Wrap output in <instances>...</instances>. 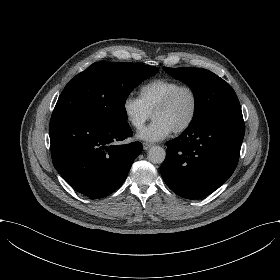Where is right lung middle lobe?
<instances>
[{"label": "right lung middle lobe", "mask_w": 280, "mask_h": 280, "mask_svg": "<svg viewBox=\"0 0 280 280\" xmlns=\"http://www.w3.org/2000/svg\"><path fill=\"white\" fill-rule=\"evenodd\" d=\"M159 69L135 63L97 62L76 75L59 96L53 114L71 113L100 123H127L129 93Z\"/></svg>", "instance_id": "1"}]
</instances>
